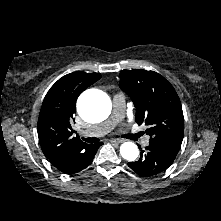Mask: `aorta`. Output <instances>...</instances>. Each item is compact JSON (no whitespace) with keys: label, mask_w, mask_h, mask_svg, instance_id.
<instances>
[{"label":"aorta","mask_w":221,"mask_h":221,"mask_svg":"<svg viewBox=\"0 0 221 221\" xmlns=\"http://www.w3.org/2000/svg\"><path fill=\"white\" fill-rule=\"evenodd\" d=\"M79 115L87 122H96L105 119L110 112V102L106 95L98 92L83 93L77 102ZM121 156L134 161L138 157L139 151L133 142H124L120 146Z\"/></svg>","instance_id":"aorta-1"}]
</instances>
